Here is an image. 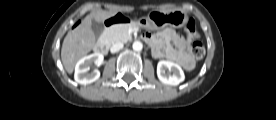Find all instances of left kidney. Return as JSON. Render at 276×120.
Masks as SVG:
<instances>
[{
  "instance_id": "left-kidney-1",
  "label": "left kidney",
  "mask_w": 276,
  "mask_h": 120,
  "mask_svg": "<svg viewBox=\"0 0 276 120\" xmlns=\"http://www.w3.org/2000/svg\"><path fill=\"white\" fill-rule=\"evenodd\" d=\"M168 69L172 74L166 73ZM157 76L159 80L167 85L176 86L185 79L182 68L171 61L161 60L157 64Z\"/></svg>"
}]
</instances>
